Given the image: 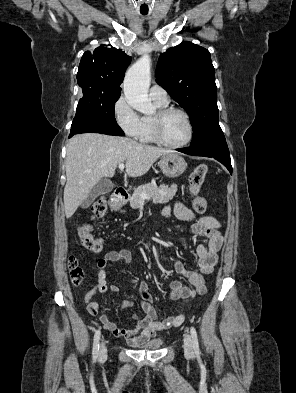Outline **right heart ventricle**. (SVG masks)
<instances>
[{
    "label": "right heart ventricle",
    "mask_w": 296,
    "mask_h": 393,
    "mask_svg": "<svg viewBox=\"0 0 296 393\" xmlns=\"http://www.w3.org/2000/svg\"><path fill=\"white\" fill-rule=\"evenodd\" d=\"M157 109H163L166 105H162L154 102ZM142 128L141 133L138 137L139 141L142 143H156L153 130V116H143L141 118Z\"/></svg>",
    "instance_id": "obj_1"
}]
</instances>
